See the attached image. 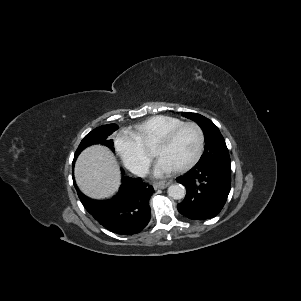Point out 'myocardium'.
<instances>
[{
    "mask_svg": "<svg viewBox=\"0 0 301 301\" xmlns=\"http://www.w3.org/2000/svg\"><path fill=\"white\" fill-rule=\"evenodd\" d=\"M185 127H193L198 135V145L195 154L193 157L188 160L186 163L182 164L181 166L177 167L178 171L186 170L192 167L201 157L203 149H204V132L199 124L195 122H183L180 125L170 129L169 131L165 132L164 134L160 135L155 141L156 143H168L172 141L176 135Z\"/></svg>",
    "mask_w": 301,
    "mask_h": 301,
    "instance_id": "obj_1",
    "label": "myocardium"
}]
</instances>
